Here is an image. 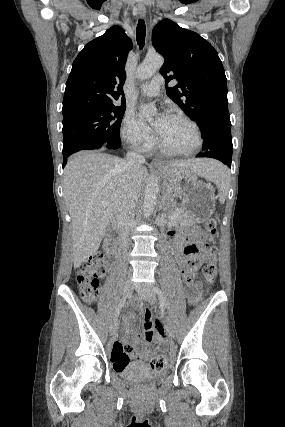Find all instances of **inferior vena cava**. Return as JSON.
Wrapping results in <instances>:
<instances>
[{
    "instance_id": "inferior-vena-cava-1",
    "label": "inferior vena cava",
    "mask_w": 285,
    "mask_h": 427,
    "mask_svg": "<svg viewBox=\"0 0 285 427\" xmlns=\"http://www.w3.org/2000/svg\"><path fill=\"white\" fill-rule=\"evenodd\" d=\"M145 163V158L136 152H127L124 167L127 176H131L139 170ZM138 199L137 191L126 190L122 195L116 210V220L120 228L122 244L125 248L128 246V235L132 228L134 217L132 214L135 202Z\"/></svg>"
}]
</instances>
